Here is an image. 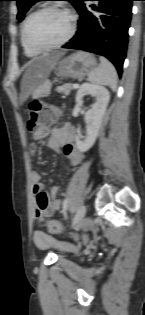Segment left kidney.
<instances>
[{
    "label": "left kidney",
    "instance_id": "left-kidney-1",
    "mask_svg": "<svg viewBox=\"0 0 145 315\" xmlns=\"http://www.w3.org/2000/svg\"><path fill=\"white\" fill-rule=\"evenodd\" d=\"M85 95L94 96L96 101L85 114V139L83 141L78 137L75 139L76 147L80 152H86L94 145L110 99L109 91L106 88L89 83L82 84L78 89L76 103L81 104Z\"/></svg>",
    "mask_w": 145,
    "mask_h": 315
}]
</instances>
